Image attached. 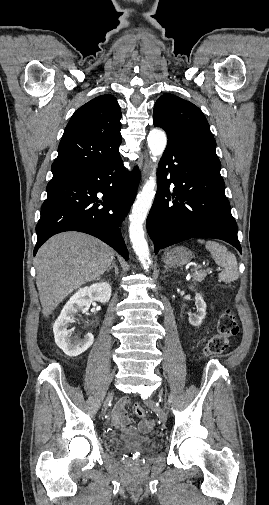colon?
<instances>
[{
	"instance_id": "1",
	"label": "colon",
	"mask_w": 269,
	"mask_h": 505,
	"mask_svg": "<svg viewBox=\"0 0 269 505\" xmlns=\"http://www.w3.org/2000/svg\"><path fill=\"white\" fill-rule=\"evenodd\" d=\"M238 332L239 323L235 313L232 310L225 311L218 320L217 332L206 343L203 355L208 357L221 354L227 349L230 339L236 336ZM135 413L142 418L145 416L146 411L141 405L137 404Z\"/></svg>"
}]
</instances>
